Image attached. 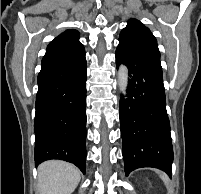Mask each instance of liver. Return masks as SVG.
Segmentation results:
<instances>
[{
  "label": "liver",
  "instance_id": "6515ba94",
  "mask_svg": "<svg viewBox=\"0 0 201 194\" xmlns=\"http://www.w3.org/2000/svg\"><path fill=\"white\" fill-rule=\"evenodd\" d=\"M80 181V171L72 164L52 160L38 167V194H71Z\"/></svg>",
  "mask_w": 201,
  "mask_h": 194
}]
</instances>
